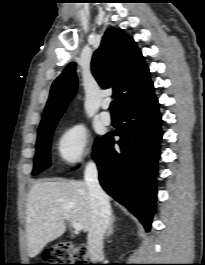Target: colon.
<instances>
[{
  "label": "colon",
  "instance_id": "1",
  "mask_svg": "<svg viewBox=\"0 0 205 265\" xmlns=\"http://www.w3.org/2000/svg\"><path fill=\"white\" fill-rule=\"evenodd\" d=\"M88 257L86 246H74L68 243H60L49 248L44 254V265H87Z\"/></svg>",
  "mask_w": 205,
  "mask_h": 265
}]
</instances>
